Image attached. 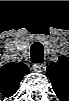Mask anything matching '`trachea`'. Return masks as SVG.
<instances>
[{"label":"trachea","instance_id":"obj_1","mask_svg":"<svg viewBox=\"0 0 69 101\" xmlns=\"http://www.w3.org/2000/svg\"><path fill=\"white\" fill-rule=\"evenodd\" d=\"M31 61L35 64L44 62V47L40 42L32 44L30 49Z\"/></svg>","mask_w":69,"mask_h":101}]
</instances>
